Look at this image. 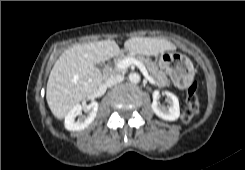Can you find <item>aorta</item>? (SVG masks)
I'll use <instances>...</instances> for the list:
<instances>
[{
    "label": "aorta",
    "instance_id": "obj_1",
    "mask_svg": "<svg viewBox=\"0 0 245 170\" xmlns=\"http://www.w3.org/2000/svg\"><path fill=\"white\" fill-rule=\"evenodd\" d=\"M140 75L138 73H130L129 74V81L133 84H137L140 82Z\"/></svg>",
    "mask_w": 245,
    "mask_h": 170
}]
</instances>
